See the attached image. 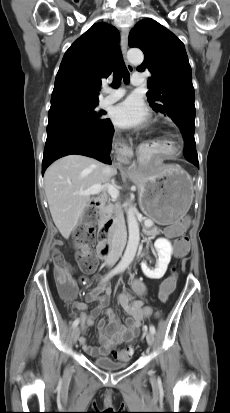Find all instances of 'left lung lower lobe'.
<instances>
[{"label":"left lung lower lobe","instance_id":"obj_1","mask_svg":"<svg viewBox=\"0 0 230 413\" xmlns=\"http://www.w3.org/2000/svg\"><path fill=\"white\" fill-rule=\"evenodd\" d=\"M182 135H183L184 142H185L184 156L186 160L194 164L197 168H199L198 155H197L196 147H195L194 133L186 131Z\"/></svg>","mask_w":230,"mask_h":413}]
</instances>
